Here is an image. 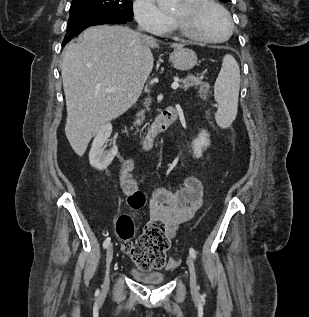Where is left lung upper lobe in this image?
<instances>
[{"instance_id":"5c2ea615","label":"left lung upper lobe","mask_w":309,"mask_h":317,"mask_svg":"<svg viewBox=\"0 0 309 317\" xmlns=\"http://www.w3.org/2000/svg\"><path fill=\"white\" fill-rule=\"evenodd\" d=\"M220 1L226 3V2H229V1H231V0H220Z\"/></svg>"}]
</instances>
